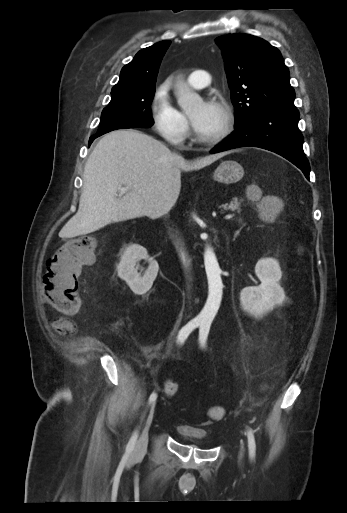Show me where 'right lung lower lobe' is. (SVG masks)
<instances>
[{"label": "right lung lower lobe", "instance_id": "right-lung-lower-lobe-1", "mask_svg": "<svg viewBox=\"0 0 347 513\" xmlns=\"http://www.w3.org/2000/svg\"><path fill=\"white\" fill-rule=\"evenodd\" d=\"M101 136L100 134L93 135L89 140V145L93 142V140L97 137Z\"/></svg>", "mask_w": 347, "mask_h": 513}]
</instances>
